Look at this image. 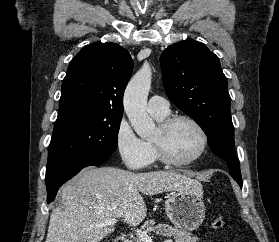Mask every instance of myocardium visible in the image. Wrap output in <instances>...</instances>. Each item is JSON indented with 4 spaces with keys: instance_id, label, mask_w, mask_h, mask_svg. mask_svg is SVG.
I'll return each instance as SVG.
<instances>
[{
    "instance_id": "f54148a6",
    "label": "myocardium",
    "mask_w": 279,
    "mask_h": 242,
    "mask_svg": "<svg viewBox=\"0 0 279 242\" xmlns=\"http://www.w3.org/2000/svg\"><path fill=\"white\" fill-rule=\"evenodd\" d=\"M179 121H186L191 125H193L195 129L198 131L201 139V143L198 151L192 157L186 160H177L173 158L168 152L166 147V136L169 130L171 129V127ZM157 132L158 135L156 138L152 139V143L156 149L159 159L163 163L170 166L183 167V166H188L193 164L204 154L208 146V135L204 127L201 125L199 121H197L195 118L189 115L178 114V115L167 117L159 124Z\"/></svg>"
}]
</instances>
